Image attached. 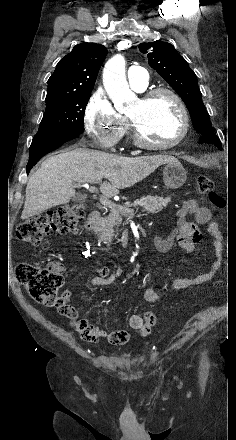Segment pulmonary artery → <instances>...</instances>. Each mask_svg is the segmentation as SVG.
Instances as JSON below:
<instances>
[{"mask_svg": "<svg viewBox=\"0 0 236 440\" xmlns=\"http://www.w3.org/2000/svg\"><path fill=\"white\" fill-rule=\"evenodd\" d=\"M149 75L145 67L133 65L128 70V82L136 90H144L148 85Z\"/></svg>", "mask_w": 236, "mask_h": 440, "instance_id": "1", "label": "pulmonary artery"}]
</instances>
